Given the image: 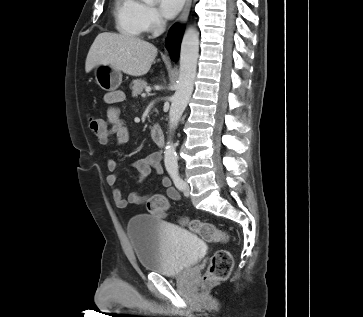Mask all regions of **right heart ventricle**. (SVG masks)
I'll list each match as a JSON object with an SVG mask.
<instances>
[{"label":"right heart ventricle","mask_w":363,"mask_h":317,"mask_svg":"<svg viewBox=\"0 0 363 317\" xmlns=\"http://www.w3.org/2000/svg\"><path fill=\"white\" fill-rule=\"evenodd\" d=\"M143 8L140 0H115L114 17L117 30L127 36H141L145 31Z\"/></svg>","instance_id":"e07e8e85"}]
</instances>
